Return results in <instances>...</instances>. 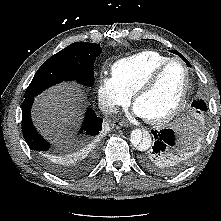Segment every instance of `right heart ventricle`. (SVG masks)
I'll return each mask as SVG.
<instances>
[{"instance_id": "obj_1", "label": "right heart ventricle", "mask_w": 221, "mask_h": 221, "mask_svg": "<svg viewBox=\"0 0 221 221\" xmlns=\"http://www.w3.org/2000/svg\"><path fill=\"white\" fill-rule=\"evenodd\" d=\"M169 58L159 51H141L116 61L111 67L112 76L129 95H133L152 72Z\"/></svg>"}]
</instances>
